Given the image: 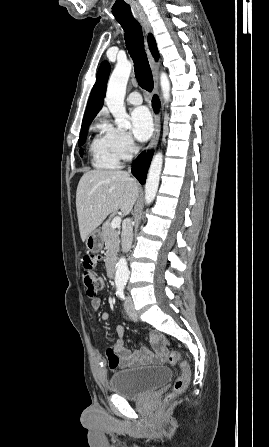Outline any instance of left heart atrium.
Masks as SVG:
<instances>
[{"instance_id":"1","label":"left heart atrium","mask_w":269,"mask_h":447,"mask_svg":"<svg viewBox=\"0 0 269 447\" xmlns=\"http://www.w3.org/2000/svg\"><path fill=\"white\" fill-rule=\"evenodd\" d=\"M154 129L153 118L150 111L144 107L135 108L131 113V130L139 141L148 140Z\"/></svg>"}]
</instances>
